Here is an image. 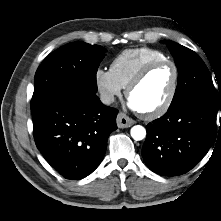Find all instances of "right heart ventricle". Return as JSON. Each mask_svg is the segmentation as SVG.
Masks as SVG:
<instances>
[{"instance_id": "right-heart-ventricle-1", "label": "right heart ventricle", "mask_w": 221, "mask_h": 221, "mask_svg": "<svg viewBox=\"0 0 221 221\" xmlns=\"http://www.w3.org/2000/svg\"><path fill=\"white\" fill-rule=\"evenodd\" d=\"M166 59L159 50L140 47L126 49L119 53L111 62L110 72L121 85L126 88L133 77L148 63Z\"/></svg>"}]
</instances>
